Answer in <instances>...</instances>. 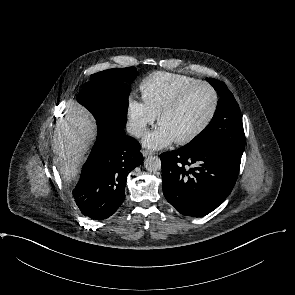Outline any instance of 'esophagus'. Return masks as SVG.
<instances>
[{
  "label": "esophagus",
  "instance_id": "obj_1",
  "mask_svg": "<svg viewBox=\"0 0 295 295\" xmlns=\"http://www.w3.org/2000/svg\"><path fill=\"white\" fill-rule=\"evenodd\" d=\"M142 154H143L144 157H147V156H149V155H153V154H155V152H153V151H151V150L143 149V150H142Z\"/></svg>",
  "mask_w": 295,
  "mask_h": 295
}]
</instances>
